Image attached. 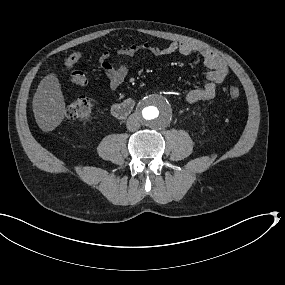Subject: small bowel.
Listing matches in <instances>:
<instances>
[{"label":"small bowel","mask_w":285,"mask_h":285,"mask_svg":"<svg viewBox=\"0 0 285 285\" xmlns=\"http://www.w3.org/2000/svg\"><path fill=\"white\" fill-rule=\"evenodd\" d=\"M141 51H146L153 56L160 57L179 53L184 56L197 54L201 56L204 65L209 70L206 82L193 88L185 95V102L193 104L202 101H209L214 98L217 88L222 84L227 75L228 67L224 60L210 49L190 42H172L165 47H159L149 43L141 45H127L119 48L117 54L120 56L132 57ZM111 53L104 51L100 55V64L110 89L119 88L126 79L128 70L125 66H115L110 62Z\"/></svg>","instance_id":"c3829d8e"}]
</instances>
